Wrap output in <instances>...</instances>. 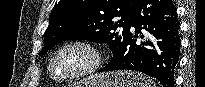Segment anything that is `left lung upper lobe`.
<instances>
[{
    "instance_id": "1",
    "label": "left lung upper lobe",
    "mask_w": 205,
    "mask_h": 87,
    "mask_svg": "<svg viewBox=\"0 0 205 87\" xmlns=\"http://www.w3.org/2000/svg\"><path fill=\"white\" fill-rule=\"evenodd\" d=\"M138 1L60 0L51 11L40 55L73 39L107 43L113 58L117 57L130 37L131 18Z\"/></svg>"
}]
</instances>
